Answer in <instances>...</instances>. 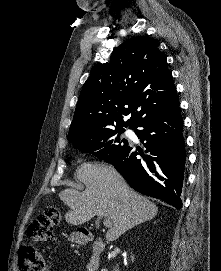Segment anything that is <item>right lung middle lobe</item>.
Segmentation results:
<instances>
[{
	"instance_id": "1",
	"label": "right lung middle lobe",
	"mask_w": 221,
	"mask_h": 271,
	"mask_svg": "<svg viewBox=\"0 0 221 271\" xmlns=\"http://www.w3.org/2000/svg\"><path fill=\"white\" fill-rule=\"evenodd\" d=\"M123 127L116 126L99 133L82 136L71 142H73L76 149L91 153L108 163H113L130 147L126 139L121 140L119 139V135L116 136L117 133L120 134L125 131ZM130 128L134 129L133 126H130Z\"/></svg>"
}]
</instances>
